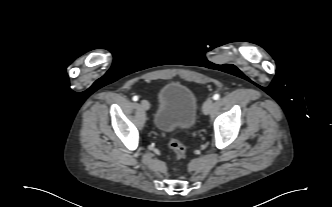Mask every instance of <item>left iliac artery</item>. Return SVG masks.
Instances as JSON below:
<instances>
[{"label": "left iliac artery", "instance_id": "left-iliac-artery-1", "mask_svg": "<svg viewBox=\"0 0 332 207\" xmlns=\"http://www.w3.org/2000/svg\"><path fill=\"white\" fill-rule=\"evenodd\" d=\"M220 98V95L219 94H215L214 96H213V99L214 100H218Z\"/></svg>", "mask_w": 332, "mask_h": 207}]
</instances>
